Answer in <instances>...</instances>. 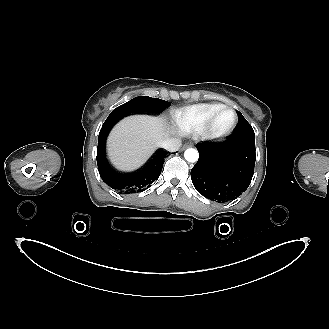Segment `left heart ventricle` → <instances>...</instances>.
I'll return each instance as SVG.
<instances>
[{"label": "left heart ventricle", "instance_id": "left-heart-ventricle-1", "mask_svg": "<svg viewBox=\"0 0 329 329\" xmlns=\"http://www.w3.org/2000/svg\"><path fill=\"white\" fill-rule=\"evenodd\" d=\"M234 121V114L229 111H223L214 123V130L217 132H224L228 130Z\"/></svg>", "mask_w": 329, "mask_h": 329}]
</instances>
